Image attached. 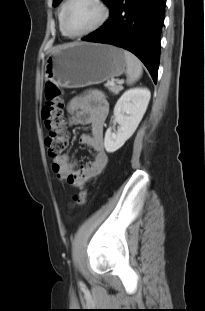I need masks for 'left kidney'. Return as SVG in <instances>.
I'll list each match as a JSON object with an SVG mask.
<instances>
[{
	"instance_id": "1",
	"label": "left kidney",
	"mask_w": 205,
	"mask_h": 311,
	"mask_svg": "<svg viewBox=\"0 0 205 311\" xmlns=\"http://www.w3.org/2000/svg\"><path fill=\"white\" fill-rule=\"evenodd\" d=\"M151 93L147 88H133L125 91L114 107V124L119 127L116 132L109 128L105 133L104 147L108 153L121 148L133 135L150 101Z\"/></svg>"
}]
</instances>
